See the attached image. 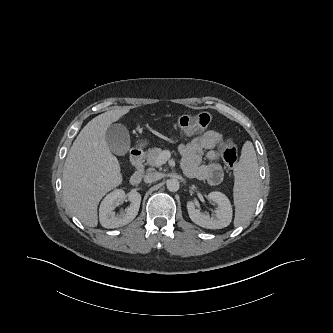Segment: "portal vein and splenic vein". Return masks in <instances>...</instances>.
Instances as JSON below:
<instances>
[{"label": "portal vein and splenic vein", "mask_w": 333, "mask_h": 333, "mask_svg": "<svg viewBox=\"0 0 333 333\" xmlns=\"http://www.w3.org/2000/svg\"><path fill=\"white\" fill-rule=\"evenodd\" d=\"M170 158V153L168 151H163L158 157V161L163 164Z\"/></svg>", "instance_id": "obj_1"}]
</instances>
